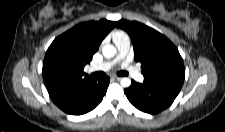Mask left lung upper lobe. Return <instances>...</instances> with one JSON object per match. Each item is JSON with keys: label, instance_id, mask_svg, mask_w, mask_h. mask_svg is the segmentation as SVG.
Listing matches in <instances>:
<instances>
[{"label": "left lung upper lobe", "instance_id": "5c2ea615", "mask_svg": "<svg viewBox=\"0 0 225 132\" xmlns=\"http://www.w3.org/2000/svg\"><path fill=\"white\" fill-rule=\"evenodd\" d=\"M116 26L130 35L145 83L181 89L185 68L178 49L169 39L136 21L120 20Z\"/></svg>", "mask_w": 225, "mask_h": 132}]
</instances>
